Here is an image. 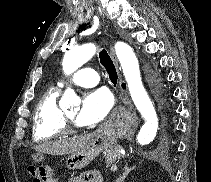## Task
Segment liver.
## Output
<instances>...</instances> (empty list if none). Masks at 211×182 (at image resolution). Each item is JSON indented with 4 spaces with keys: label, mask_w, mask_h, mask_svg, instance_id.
Wrapping results in <instances>:
<instances>
[{
    "label": "liver",
    "mask_w": 211,
    "mask_h": 182,
    "mask_svg": "<svg viewBox=\"0 0 211 182\" xmlns=\"http://www.w3.org/2000/svg\"><path fill=\"white\" fill-rule=\"evenodd\" d=\"M93 134H86L79 137L45 142L33 147L34 150L40 153L51 155H65L74 153L82 149L92 138Z\"/></svg>",
    "instance_id": "6515ba94"
}]
</instances>
